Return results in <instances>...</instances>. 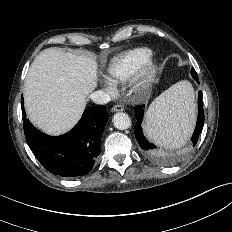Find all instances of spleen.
Masks as SVG:
<instances>
[{"label": "spleen", "instance_id": "1", "mask_svg": "<svg viewBox=\"0 0 232 232\" xmlns=\"http://www.w3.org/2000/svg\"><path fill=\"white\" fill-rule=\"evenodd\" d=\"M194 90L180 81L162 93L149 107L145 133L157 144L178 148L189 138L195 120Z\"/></svg>", "mask_w": 232, "mask_h": 232}]
</instances>
